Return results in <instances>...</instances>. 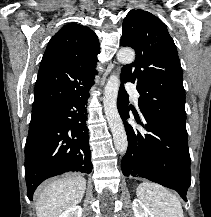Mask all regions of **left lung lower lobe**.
I'll list each match as a JSON object with an SVG mask.
<instances>
[{
    "mask_svg": "<svg viewBox=\"0 0 211 217\" xmlns=\"http://www.w3.org/2000/svg\"><path fill=\"white\" fill-rule=\"evenodd\" d=\"M117 107L128 139L127 152L121 163L123 174L146 178L174 189L187 201L191 173L186 127L142 113L147 133L136 132L126 123L129 118L128 95L122 81Z\"/></svg>",
    "mask_w": 211,
    "mask_h": 217,
    "instance_id": "1",
    "label": "left lung lower lobe"
}]
</instances>
